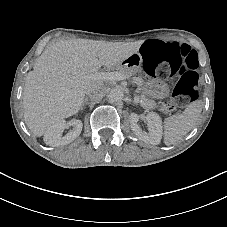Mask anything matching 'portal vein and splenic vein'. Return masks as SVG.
Wrapping results in <instances>:
<instances>
[{
	"label": "portal vein and splenic vein",
	"instance_id": "obj_1",
	"mask_svg": "<svg viewBox=\"0 0 227 227\" xmlns=\"http://www.w3.org/2000/svg\"><path fill=\"white\" fill-rule=\"evenodd\" d=\"M93 77L96 78V79H99V80H103V81H114V82L131 79L130 75H127V74L120 72V71L99 72V73H95L93 75ZM134 102H135L136 105L140 104L138 97H135Z\"/></svg>",
	"mask_w": 227,
	"mask_h": 227
}]
</instances>
